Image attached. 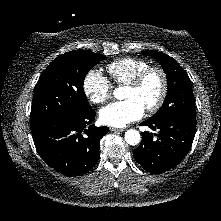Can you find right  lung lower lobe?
Listing matches in <instances>:
<instances>
[{"mask_svg":"<svg viewBox=\"0 0 221 221\" xmlns=\"http://www.w3.org/2000/svg\"><path fill=\"white\" fill-rule=\"evenodd\" d=\"M94 110L81 115H64L53 118L32 130L34 144L42 159L56 171L67 176H81L97 163L99 141L108 127L90 125ZM84 131L86 135L81 134Z\"/></svg>","mask_w":221,"mask_h":221,"instance_id":"98d812e1","label":"right lung lower lobe"}]
</instances>
